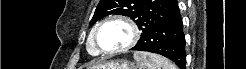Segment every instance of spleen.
I'll return each mask as SVG.
<instances>
[{
	"label": "spleen",
	"mask_w": 246,
	"mask_h": 69,
	"mask_svg": "<svg viewBox=\"0 0 246 69\" xmlns=\"http://www.w3.org/2000/svg\"><path fill=\"white\" fill-rule=\"evenodd\" d=\"M134 59L138 69H178L167 58L154 53L136 51L134 53Z\"/></svg>",
	"instance_id": "1"
}]
</instances>
